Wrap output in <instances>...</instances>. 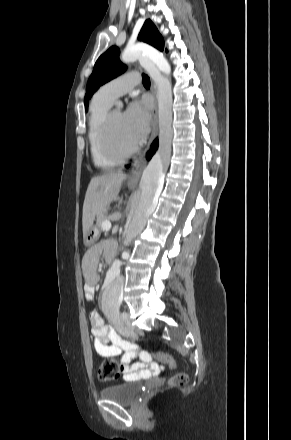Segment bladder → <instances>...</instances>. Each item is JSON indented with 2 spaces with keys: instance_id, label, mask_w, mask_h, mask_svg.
Returning a JSON list of instances; mask_svg holds the SVG:
<instances>
[{
  "instance_id": "31cf9c89",
  "label": "bladder",
  "mask_w": 291,
  "mask_h": 440,
  "mask_svg": "<svg viewBox=\"0 0 291 440\" xmlns=\"http://www.w3.org/2000/svg\"><path fill=\"white\" fill-rule=\"evenodd\" d=\"M141 392V387L136 383H121L106 386L101 389L100 395L107 401L119 404H131Z\"/></svg>"
}]
</instances>
